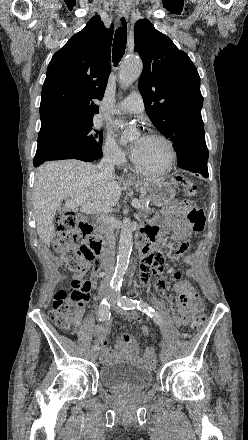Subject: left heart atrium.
<instances>
[{"mask_svg":"<svg viewBox=\"0 0 248 440\" xmlns=\"http://www.w3.org/2000/svg\"><path fill=\"white\" fill-rule=\"evenodd\" d=\"M145 138H146L145 136H141L131 146V155H132L133 159L139 154V152H140V150L142 148V145L144 143Z\"/></svg>","mask_w":248,"mask_h":440,"instance_id":"obj_1","label":"left heart atrium"}]
</instances>
